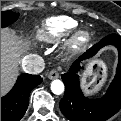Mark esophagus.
<instances>
[{
	"label": "esophagus",
	"instance_id": "esophagus-1",
	"mask_svg": "<svg viewBox=\"0 0 121 121\" xmlns=\"http://www.w3.org/2000/svg\"><path fill=\"white\" fill-rule=\"evenodd\" d=\"M48 78H49L50 80L59 78V72H58L57 70H55V69L51 70V71L49 72V74H48Z\"/></svg>",
	"mask_w": 121,
	"mask_h": 121
}]
</instances>
